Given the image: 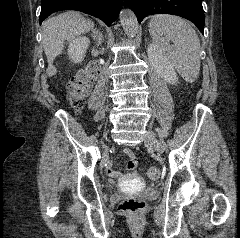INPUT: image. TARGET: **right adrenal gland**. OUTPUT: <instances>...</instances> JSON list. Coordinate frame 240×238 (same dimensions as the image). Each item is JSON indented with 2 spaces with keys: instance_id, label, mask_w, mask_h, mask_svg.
Returning a JSON list of instances; mask_svg holds the SVG:
<instances>
[{
  "instance_id": "right-adrenal-gland-1",
  "label": "right adrenal gland",
  "mask_w": 240,
  "mask_h": 238,
  "mask_svg": "<svg viewBox=\"0 0 240 238\" xmlns=\"http://www.w3.org/2000/svg\"><path fill=\"white\" fill-rule=\"evenodd\" d=\"M92 38L96 42V46L102 45L104 41L102 32L97 28H92Z\"/></svg>"
}]
</instances>
